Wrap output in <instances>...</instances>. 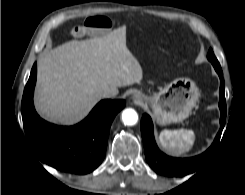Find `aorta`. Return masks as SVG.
Returning a JSON list of instances; mask_svg holds the SVG:
<instances>
[{
	"instance_id": "obj_1",
	"label": "aorta",
	"mask_w": 245,
	"mask_h": 195,
	"mask_svg": "<svg viewBox=\"0 0 245 195\" xmlns=\"http://www.w3.org/2000/svg\"><path fill=\"white\" fill-rule=\"evenodd\" d=\"M122 121L125 125H128V126L135 125L138 121L137 112L132 108L125 109L122 112Z\"/></svg>"
}]
</instances>
